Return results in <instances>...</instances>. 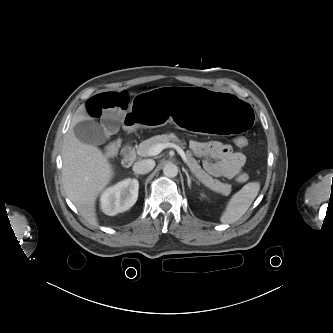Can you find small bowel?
Segmentation results:
<instances>
[{"label": "small bowel", "mask_w": 333, "mask_h": 333, "mask_svg": "<svg viewBox=\"0 0 333 333\" xmlns=\"http://www.w3.org/2000/svg\"><path fill=\"white\" fill-rule=\"evenodd\" d=\"M128 106V93L110 91L89 98L84 108L88 116L100 118L107 128L113 129ZM190 149L195 156L203 158L205 170L215 177L233 178L246 162V156L242 152L233 151L230 146L218 141H191Z\"/></svg>", "instance_id": "small-bowel-1"}]
</instances>
